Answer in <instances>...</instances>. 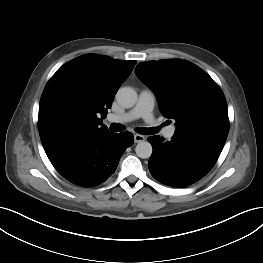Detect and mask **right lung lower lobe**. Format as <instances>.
Listing matches in <instances>:
<instances>
[{
    "label": "right lung lower lobe",
    "instance_id": "98d812e1",
    "mask_svg": "<svg viewBox=\"0 0 263 263\" xmlns=\"http://www.w3.org/2000/svg\"><path fill=\"white\" fill-rule=\"evenodd\" d=\"M133 134L88 133L45 150L55 169L70 182L91 187L114 173L120 157L133 144Z\"/></svg>",
    "mask_w": 263,
    "mask_h": 263
}]
</instances>
